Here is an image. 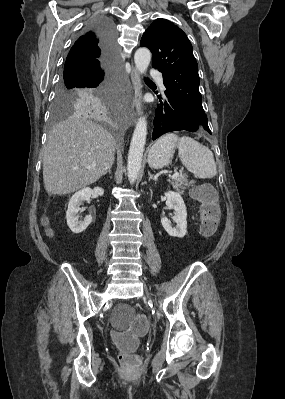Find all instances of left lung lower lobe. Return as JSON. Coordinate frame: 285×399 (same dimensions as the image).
Listing matches in <instances>:
<instances>
[{"mask_svg":"<svg viewBox=\"0 0 285 399\" xmlns=\"http://www.w3.org/2000/svg\"><path fill=\"white\" fill-rule=\"evenodd\" d=\"M160 103V106L156 109V117L154 119L153 140L162 134L172 131H206L196 118L182 108L173 97L166 95L164 98H160Z\"/></svg>","mask_w":285,"mask_h":399,"instance_id":"left-lung-lower-lobe-1","label":"left lung lower lobe"}]
</instances>
